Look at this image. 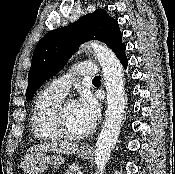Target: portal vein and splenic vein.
<instances>
[{"label":"portal vein and splenic vein","instance_id":"18ae733b","mask_svg":"<svg viewBox=\"0 0 175 174\" xmlns=\"http://www.w3.org/2000/svg\"><path fill=\"white\" fill-rule=\"evenodd\" d=\"M77 174H83L81 171H78Z\"/></svg>","mask_w":175,"mask_h":174}]
</instances>
